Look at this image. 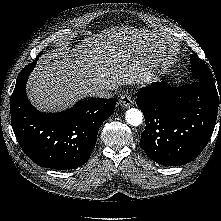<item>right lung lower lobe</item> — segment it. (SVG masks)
Here are the masks:
<instances>
[{"instance_id": "1", "label": "right lung lower lobe", "mask_w": 221, "mask_h": 221, "mask_svg": "<svg viewBox=\"0 0 221 221\" xmlns=\"http://www.w3.org/2000/svg\"><path fill=\"white\" fill-rule=\"evenodd\" d=\"M37 60V59H36ZM36 61L19 74L11 96L12 128L16 139L36 164L74 169L90 158L101 124L114 112L117 98L80 100L59 113L38 111L26 95V81Z\"/></svg>"}]
</instances>
